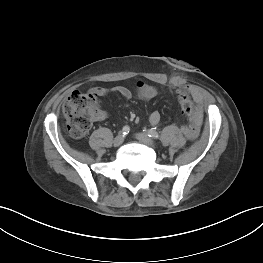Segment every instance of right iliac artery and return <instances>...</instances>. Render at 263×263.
Segmentation results:
<instances>
[{
    "label": "right iliac artery",
    "instance_id": "obj_1",
    "mask_svg": "<svg viewBox=\"0 0 263 263\" xmlns=\"http://www.w3.org/2000/svg\"><path fill=\"white\" fill-rule=\"evenodd\" d=\"M129 131H130L129 126H124L122 129L123 136L127 135L129 133Z\"/></svg>",
    "mask_w": 263,
    "mask_h": 263
}]
</instances>
